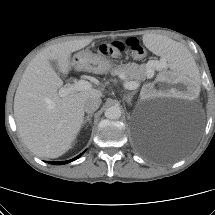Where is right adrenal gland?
<instances>
[{
    "mask_svg": "<svg viewBox=\"0 0 215 215\" xmlns=\"http://www.w3.org/2000/svg\"><path fill=\"white\" fill-rule=\"evenodd\" d=\"M92 116H93V113L88 114V115L85 117L82 126H85V124H86L87 122H89V124H91V122H92V121H91V117H92Z\"/></svg>",
    "mask_w": 215,
    "mask_h": 215,
    "instance_id": "right-adrenal-gland-1",
    "label": "right adrenal gland"
}]
</instances>
